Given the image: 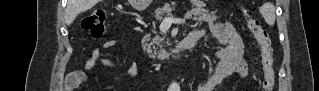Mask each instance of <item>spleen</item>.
Wrapping results in <instances>:
<instances>
[{
  "mask_svg": "<svg viewBox=\"0 0 319 91\" xmlns=\"http://www.w3.org/2000/svg\"><path fill=\"white\" fill-rule=\"evenodd\" d=\"M260 13L268 25H270V26L274 25V23H275V8H274L273 4H271L270 2L265 3L260 8Z\"/></svg>",
  "mask_w": 319,
  "mask_h": 91,
  "instance_id": "1",
  "label": "spleen"
}]
</instances>
